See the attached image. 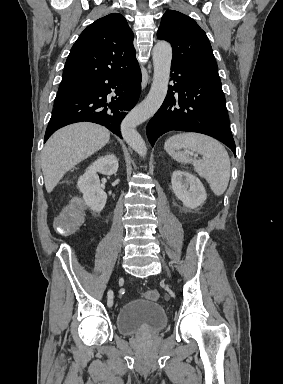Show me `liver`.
I'll list each match as a JSON object with an SVG mask.
<instances>
[{"label":"liver","instance_id":"obj_1","mask_svg":"<svg viewBox=\"0 0 283 384\" xmlns=\"http://www.w3.org/2000/svg\"><path fill=\"white\" fill-rule=\"evenodd\" d=\"M109 140V130L89 122L71 124L55 132L46 142L41 156V168L48 194L53 192L66 172L101 150Z\"/></svg>","mask_w":283,"mask_h":384}]
</instances>
